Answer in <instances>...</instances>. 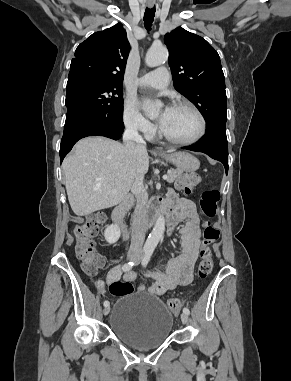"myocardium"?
<instances>
[{"label": "myocardium", "mask_w": 291, "mask_h": 381, "mask_svg": "<svg viewBox=\"0 0 291 381\" xmlns=\"http://www.w3.org/2000/svg\"><path fill=\"white\" fill-rule=\"evenodd\" d=\"M181 107L191 109L198 116L199 121H200V128H199L198 133L190 139L181 140V139H176V138L169 136L159 126L158 127V134L160 135V137H162L163 139H165L166 141H168L172 144L192 145V144L198 142L199 140H201L203 138V136L205 135L206 130H207V121H206V118H205L203 112L194 103H192L190 101H186V100H181V101L175 102L172 106V108H181Z\"/></svg>", "instance_id": "f54148a6"}]
</instances>
